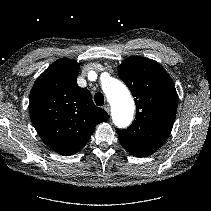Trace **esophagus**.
Here are the masks:
<instances>
[{
  "label": "esophagus",
  "instance_id": "34e87169",
  "mask_svg": "<svg viewBox=\"0 0 211 211\" xmlns=\"http://www.w3.org/2000/svg\"><path fill=\"white\" fill-rule=\"evenodd\" d=\"M104 110L109 114L110 113V106L108 104H106L104 106Z\"/></svg>",
  "mask_w": 211,
  "mask_h": 211
}]
</instances>
